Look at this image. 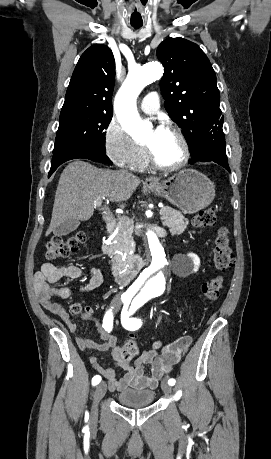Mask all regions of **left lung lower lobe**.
<instances>
[{
	"label": "left lung lower lobe",
	"instance_id": "left-lung-lower-lobe-1",
	"mask_svg": "<svg viewBox=\"0 0 271 459\" xmlns=\"http://www.w3.org/2000/svg\"><path fill=\"white\" fill-rule=\"evenodd\" d=\"M222 126L223 124L216 126L204 136L203 151L198 158L191 160L190 164H194L198 161H213L223 166L226 170H228V172H230L226 156L225 135L223 133Z\"/></svg>",
	"mask_w": 271,
	"mask_h": 459
}]
</instances>
